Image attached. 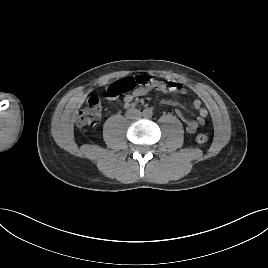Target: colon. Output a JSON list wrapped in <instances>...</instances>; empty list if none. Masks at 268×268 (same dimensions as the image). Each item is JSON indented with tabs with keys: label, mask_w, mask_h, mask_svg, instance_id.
<instances>
[{
	"label": "colon",
	"mask_w": 268,
	"mask_h": 268,
	"mask_svg": "<svg viewBox=\"0 0 268 268\" xmlns=\"http://www.w3.org/2000/svg\"><path fill=\"white\" fill-rule=\"evenodd\" d=\"M137 87H143L146 89H156L162 92L171 93L178 90V86L175 82L170 80L158 81L151 75H136L122 78L112 83L106 89V96L110 99H115L121 94L130 92ZM101 118V106L97 97H91L87 105L79 112L77 117V123L83 127L95 126ZM198 144H204L208 137L204 133H198L195 137Z\"/></svg>",
	"instance_id": "5ec220e1"
}]
</instances>
